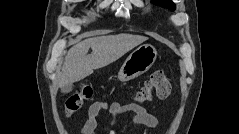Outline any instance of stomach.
Masks as SVG:
<instances>
[{"mask_svg": "<svg viewBox=\"0 0 239 134\" xmlns=\"http://www.w3.org/2000/svg\"><path fill=\"white\" fill-rule=\"evenodd\" d=\"M156 58L157 51L154 46L150 44L139 46L122 65L118 73V79L128 81L142 75L152 67Z\"/></svg>", "mask_w": 239, "mask_h": 134, "instance_id": "stomach-1", "label": "stomach"}]
</instances>
